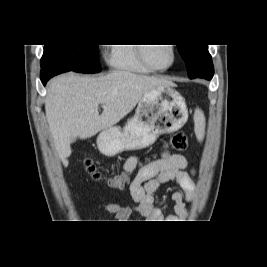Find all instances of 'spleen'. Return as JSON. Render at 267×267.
I'll use <instances>...</instances> for the list:
<instances>
[{
	"label": "spleen",
	"instance_id": "3e777b00",
	"mask_svg": "<svg viewBox=\"0 0 267 267\" xmlns=\"http://www.w3.org/2000/svg\"><path fill=\"white\" fill-rule=\"evenodd\" d=\"M204 120L203 118H198L195 123V133L198 140H202L204 137Z\"/></svg>",
	"mask_w": 267,
	"mask_h": 267
}]
</instances>
